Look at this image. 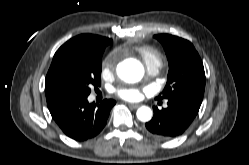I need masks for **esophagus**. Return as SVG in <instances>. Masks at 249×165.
<instances>
[{"mask_svg": "<svg viewBox=\"0 0 249 165\" xmlns=\"http://www.w3.org/2000/svg\"><path fill=\"white\" fill-rule=\"evenodd\" d=\"M128 106L131 107V108H138L139 107V104H134V103H128Z\"/></svg>", "mask_w": 249, "mask_h": 165, "instance_id": "esophagus-1", "label": "esophagus"}]
</instances>
